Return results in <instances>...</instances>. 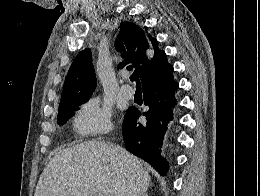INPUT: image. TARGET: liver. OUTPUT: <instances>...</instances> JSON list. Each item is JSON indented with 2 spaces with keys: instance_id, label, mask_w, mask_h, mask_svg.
Returning <instances> with one entry per match:
<instances>
[{
  "instance_id": "obj_1",
  "label": "liver",
  "mask_w": 260,
  "mask_h": 196,
  "mask_svg": "<svg viewBox=\"0 0 260 196\" xmlns=\"http://www.w3.org/2000/svg\"><path fill=\"white\" fill-rule=\"evenodd\" d=\"M150 182L142 160L125 148L83 142L54 154L34 196H119L124 188L134 196H147Z\"/></svg>"
}]
</instances>
